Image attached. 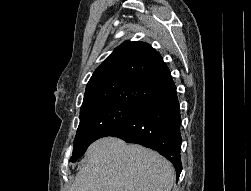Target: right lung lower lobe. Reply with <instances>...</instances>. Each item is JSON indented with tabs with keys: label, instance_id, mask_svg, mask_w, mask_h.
<instances>
[{
	"label": "right lung lower lobe",
	"instance_id": "98d812e1",
	"mask_svg": "<svg viewBox=\"0 0 251 191\" xmlns=\"http://www.w3.org/2000/svg\"><path fill=\"white\" fill-rule=\"evenodd\" d=\"M180 125V108L174 85L150 100L104 137H118L127 143L141 144L157 151L173 164L178 181L182 171Z\"/></svg>",
	"mask_w": 251,
	"mask_h": 191
}]
</instances>
